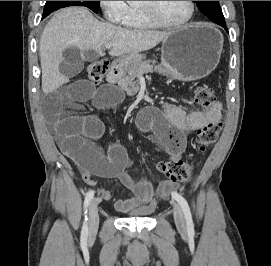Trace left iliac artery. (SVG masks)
I'll return each instance as SVG.
<instances>
[{"label": "left iliac artery", "mask_w": 271, "mask_h": 266, "mask_svg": "<svg viewBox=\"0 0 271 266\" xmlns=\"http://www.w3.org/2000/svg\"><path fill=\"white\" fill-rule=\"evenodd\" d=\"M172 197L180 204V206L183 210L184 217H185L186 224H187L188 233L194 234V225H193L192 215H191L190 207H189L187 201L185 200L184 197H182L177 192H172Z\"/></svg>", "instance_id": "44dca946"}]
</instances>
